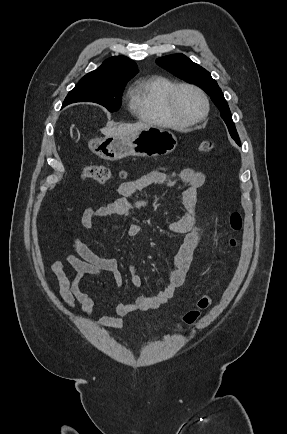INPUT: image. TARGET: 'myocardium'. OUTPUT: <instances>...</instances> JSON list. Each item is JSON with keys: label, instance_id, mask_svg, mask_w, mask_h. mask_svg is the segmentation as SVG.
Listing matches in <instances>:
<instances>
[{"label": "myocardium", "instance_id": "f54148a6", "mask_svg": "<svg viewBox=\"0 0 287 434\" xmlns=\"http://www.w3.org/2000/svg\"><path fill=\"white\" fill-rule=\"evenodd\" d=\"M182 89H190V90L194 91L200 97V99L203 103V112L198 118L185 119L177 111L176 98H177V94ZM166 103H167V108H168L170 115L176 121H178L180 124H182L184 126H190V125H195V124L201 123L202 121H204L206 119L208 112H209V100H208L207 95L200 87H198L197 85L191 84V83L175 84L169 90V92L167 94Z\"/></svg>", "mask_w": 287, "mask_h": 434}]
</instances>
